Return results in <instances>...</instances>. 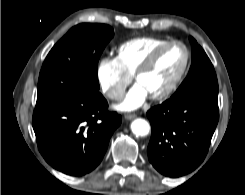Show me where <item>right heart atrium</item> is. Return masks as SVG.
<instances>
[{
	"mask_svg": "<svg viewBox=\"0 0 245 195\" xmlns=\"http://www.w3.org/2000/svg\"><path fill=\"white\" fill-rule=\"evenodd\" d=\"M96 79L102 93L111 100H120L131 76L126 74L116 58H101L96 65Z\"/></svg>",
	"mask_w": 245,
	"mask_h": 195,
	"instance_id": "obj_1",
	"label": "right heart atrium"
}]
</instances>
